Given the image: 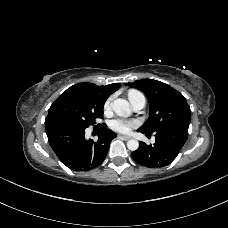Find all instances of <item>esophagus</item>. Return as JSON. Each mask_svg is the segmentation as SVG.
Listing matches in <instances>:
<instances>
[{
	"label": "esophagus",
	"instance_id": "34e87169",
	"mask_svg": "<svg viewBox=\"0 0 228 228\" xmlns=\"http://www.w3.org/2000/svg\"><path fill=\"white\" fill-rule=\"evenodd\" d=\"M121 139H123V140H130L131 139V137L130 136H127V135H120L119 136Z\"/></svg>",
	"mask_w": 228,
	"mask_h": 228
}]
</instances>
